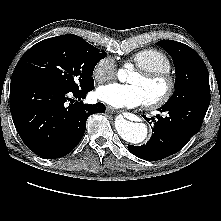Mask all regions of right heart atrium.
Here are the masks:
<instances>
[{"label": "right heart atrium", "instance_id": "obj_1", "mask_svg": "<svg viewBox=\"0 0 221 221\" xmlns=\"http://www.w3.org/2000/svg\"><path fill=\"white\" fill-rule=\"evenodd\" d=\"M116 73L117 69L113 59L104 57L95 64L92 70V77L96 82L102 83L113 79Z\"/></svg>", "mask_w": 221, "mask_h": 221}]
</instances>
